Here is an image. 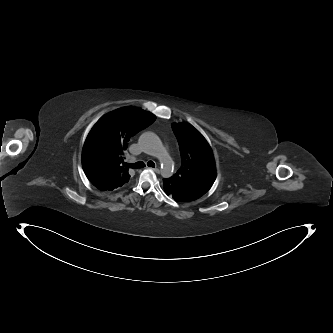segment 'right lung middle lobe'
Returning <instances> with one entry per match:
<instances>
[{"instance_id": "1", "label": "right lung middle lobe", "mask_w": 333, "mask_h": 333, "mask_svg": "<svg viewBox=\"0 0 333 333\" xmlns=\"http://www.w3.org/2000/svg\"><path fill=\"white\" fill-rule=\"evenodd\" d=\"M85 155H86V152H84V153L82 154V158L85 157Z\"/></svg>"}]
</instances>
